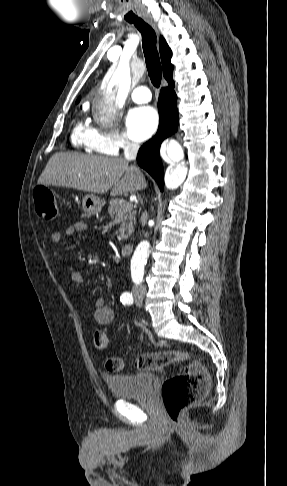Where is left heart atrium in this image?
Segmentation results:
<instances>
[{
	"label": "left heart atrium",
	"instance_id": "obj_1",
	"mask_svg": "<svg viewBox=\"0 0 287 486\" xmlns=\"http://www.w3.org/2000/svg\"><path fill=\"white\" fill-rule=\"evenodd\" d=\"M158 125V114L153 107L142 106L132 109L126 118L130 137L141 142L149 138Z\"/></svg>",
	"mask_w": 287,
	"mask_h": 486
}]
</instances>
